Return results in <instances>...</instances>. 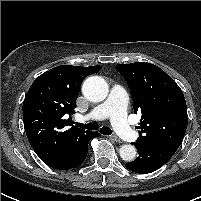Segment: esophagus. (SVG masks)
<instances>
[{
	"instance_id": "1",
	"label": "esophagus",
	"mask_w": 201,
	"mask_h": 201,
	"mask_svg": "<svg viewBox=\"0 0 201 201\" xmlns=\"http://www.w3.org/2000/svg\"><path fill=\"white\" fill-rule=\"evenodd\" d=\"M109 138L115 142L121 143V139L116 135H110Z\"/></svg>"
}]
</instances>
